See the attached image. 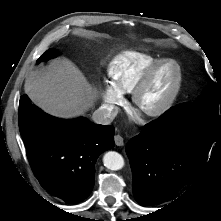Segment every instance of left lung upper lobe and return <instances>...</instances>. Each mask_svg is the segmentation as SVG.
<instances>
[{
    "label": "left lung upper lobe",
    "mask_w": 221,
    "mask_h": 221,
    "mask_svg": "<svg viewBox=\"0 0 221 221\" xmlns=\"http://www.w3.org/2000/svg\"><path fill=\"white\" fill-rule=\"evenodd\" d=\"M171 118L180 124L221 127L214 83L211 82L195 102L183 103L173 107Z\"/></svg>",
    "instance_id": "obj_1"
}]
</instances>
